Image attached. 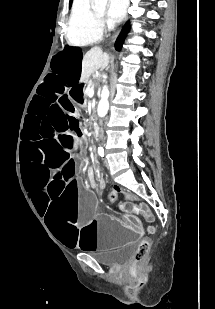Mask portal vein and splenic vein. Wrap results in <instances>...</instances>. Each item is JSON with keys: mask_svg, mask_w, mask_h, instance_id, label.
<instances>
[{"mask_svg": "<svg viewBox=\"0 0 215 309\" xmlns=\"http://www.w3.org/2000/svg\"><path fill=\"white\" fill-rule=\"evenodd\" d=\"M86 92H88V96H93L94 88H87Z\"/></svg>", "mask_w": 215, "mask_h": 309, "instance_id": "18ae733b", "label": "portal vein and splenic vein"}]
</instances>
